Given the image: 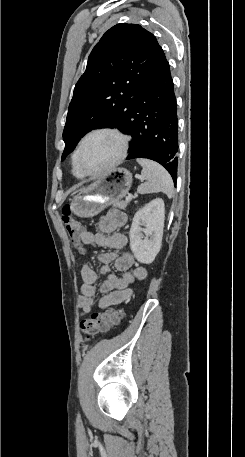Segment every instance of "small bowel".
Segmentation results:
<instances>
[{
	"instance_id": "c3829d8e",
	"label": "small bowel",
	"mask_w": 245,
	"mask_h": 457,
	"mask_svg": "<svg viewBox=\"0 0 245 457\" xmlns=\"http://www.w3.org/2000/svg\"><path fill=\"white\" fill-rule=\"evenodd\" d=\"M127 216L117 209L108 211L98 222L99 232H90L82 229L81 243L105 249L99 254L102 263L101 273L105 279L99 287L102 297L96 302L97 273L89 265L81 267V296L78 304L83 315L89 314L97 307L105 309L112 305H118L127 300L133 290L131 283L135 280H143L147 276V270L142 266L134 265V257L131 253L118 254L117 250L123 249L127 243V237L119 232L125 225ZM110 264L118 274L112 273Z\"/></svg>"
}]
</instances>
